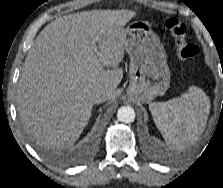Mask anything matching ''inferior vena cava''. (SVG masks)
Segmentation results:
<instances>
[{
  "label": "inferior vena cava",
  "mask_w": 223,
  "mask_h": 188,
  "mask_svg": "<svg viewBox=\"0 0 223 188\" xmlns=\"http://www.w3.org/2000/svg\"><path fill=\"white\" fill-rule=\"evenodd\" d=\"M90 99L94 104H100L108 99V93L105 90H95L91 92Z\"/></svg>",
  "instance_id": "inferior-vena-cava-1"
}]
</instances>
